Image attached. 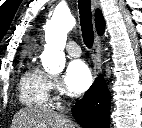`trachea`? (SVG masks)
<instances>
[{"label": "trachea", "instance_id": "1", "mask_svg": "<svg viewBox=\"0 0 142 128\" xmlns=\"http://www.w3.org/2000/svg\"><path fill=\"white\" fill-rule=\"evenodd\" d=\"M78 7L83 41L86 47L90 49L94 42L91 2L90 0H78Z\"/></svg>", "mask_w": 142, "mask_h": 128}]
</instances>
